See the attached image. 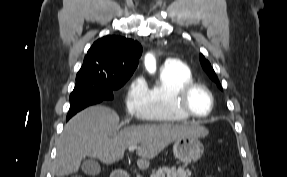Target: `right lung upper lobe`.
Instances as JSON below:
<instances>
[{
	"label": "right lung upper lobe",
	"mask_w": 287,
	"mask_h": 177,
	"mask_svg": "<svg viewBox=\"0 0 287 177\" xmlns=\"http://www.w3.org/2000/svg\"><path fill=\"white\" fill-rule=\"evenodd\" d=\"M141 53L142 47L137 41L104 36L88 50L80 70L94 74L105 84H112L131 77Z\"/></svg>",
	"instance_id": "1"
}]
</instances>
